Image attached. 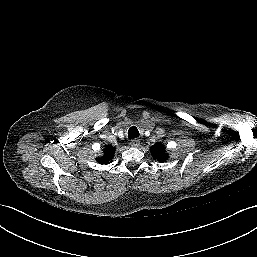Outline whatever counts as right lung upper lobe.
I'll return each instance as SVG.
<instances>
[{"instance_id": "obj_1", "label": "right lung upper lobe", "mask_w": 257, "mask_h": 257, "mask_svg": "<svg viewBox=\"0 0 257 257\" xmlns=\"http://www.w3.org/2000/svg\"><path fill=\"white\" fill-rule=\"evenodd\" d=\"M115 152V148L112 146H105L104 155L98 158V162L100 164H108V162L113 158Z\"/></svg>"}]
</instances>
